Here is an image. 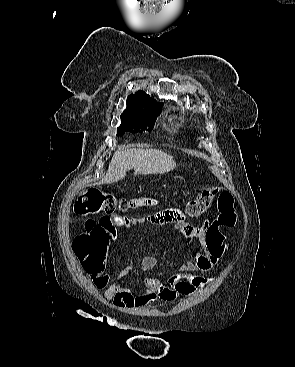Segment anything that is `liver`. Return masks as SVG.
I'll return each mask as SVG.
<instances>
[{
	"label": "liver",
	"instance_id": "1",
	"mask_svg": "<svg viewBox=\"0 0 295 367\" xmlns=\"http://www.w3.org/2000/svg\"><path fill=\"white\" fill-rule=\"evenodd\" d=\"M173 157L156 149H124L119 146L114 153L101 183L109 184L122 180L126 172L134 169L137 174H163L175 168Z\"/></svg>",
	"mask_w": 295,
	"mask_h": 367
}]
</instances>
